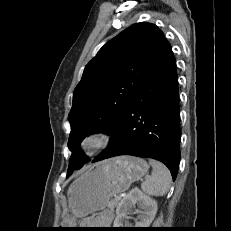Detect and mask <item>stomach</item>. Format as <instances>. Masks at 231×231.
Masks as SVG:
<instances>
[{
	"label": "stomach",
	"mask_w": 231,
	"mask_h": 231,
	"mask_svg": "<svg viewBox=\"0 0 231 231\" xmlns=\"http://www.w3.org/2000/svg\"><path fill=\"white\" fill-rule=\"evenodd\" d=\"M148 168L145 160L134 156H118L97 163L70 186L69 207L73 215L86 217L106 208L113 195L126 191Z\"/></svg>",
	"instance_id": "1"
}]
</instances>
